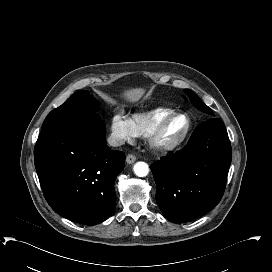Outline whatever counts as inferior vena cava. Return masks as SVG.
Here are the masks:
<instances>
[{
    "instance_id": "inferior-vena-cava-1",
    "label": "inferior vena cava",
    "mask_w": 272,
    "mask_h": 272,
    "mask_svg": "<svg viewBox=\"0 0 272 272\" xmlns=\"http://www.w3.org/2000/svg\"><path fill=\"white\" fill-rule=\"evenodd\" d=\"M107 141H108V144L113 147L121 146L125 142L124 139L120 135H117V134H111L108 137Z\"/></svg>"
}]
</instances>
